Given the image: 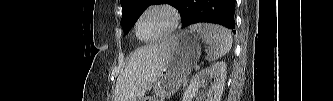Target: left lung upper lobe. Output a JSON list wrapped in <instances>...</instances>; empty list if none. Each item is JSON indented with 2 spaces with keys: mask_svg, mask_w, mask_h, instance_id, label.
<instances>
[{
  "mask_svg": "<svg viewBox=\"0 0 333 101\" xmlns=\"http://www.w3.org/2000/svg\"><path fill=\"white\" fill-rule=\"evenodd\" d=\"M123 9L122 28L128 33L141 13L154 3H168L180 12L181 0H120Z\"/></svg>",
  "mask_w": 333,
  "mask_h": 101,
  "instance_id": "5c2ea615",
  "label": "left lung upper lobe"
}]
</instances>
